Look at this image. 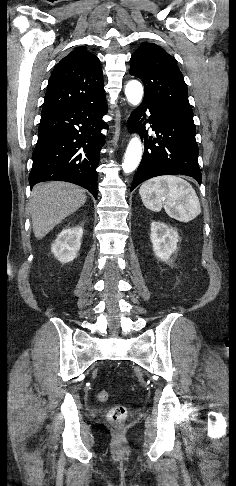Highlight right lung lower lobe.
<instances>
[{
  "label": "right lung lower lobe",
  "instance_id": "right-lung-lower-lobe-1",
  "mask_svg": "<svg viewBox=\"0 0 236 486\" xmlns=\"http://www.w3.org/2000/svg\"><path fill=\"white\" fill-rule=\"evenodd\" d=\"M105 98L76 104L41 115L38 141L32 158L30 186L44 181H66L88 189L97 198L100 150L107 128Z\"/></svg>",
  "mask_w": 236,
  "mask_h": 486
}]
</instances>
